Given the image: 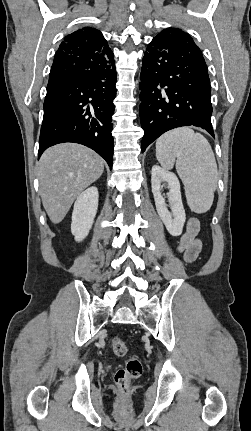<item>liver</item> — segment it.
I'll return each instance as SVG.
<instances>
[{"label":"liver","instance_id":"obj_1","mask_svg":"<svg viewBox=\"0 0 251 431\" xmlns=\"http://www.w3.org/2000/svg\"><path fill=\"white\" fill-rule=\"evenodd\" d=\"M104 171L103 159L83 145L63 143L47 149L38 164L40 195L54 224L60 223L74 200Z\"/></svg>","mask_w":251,"mask_h":431}]
</instances>
